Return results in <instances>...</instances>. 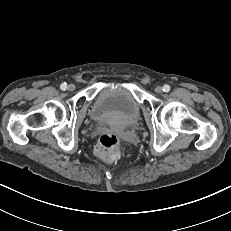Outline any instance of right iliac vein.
Returning a JSON list of instances; mask_svg holds the SVG:
<instances>
[{"mask_svg":"<svg viewBox=\"0 0 231 231\" xmlns=\"http://www.w3.org/2000/svg\"><path fill=\"white\" fill-rule=\"evenodd\" d=\"M68 91H74L75 90V86L73 84H69L67 87Z\"/></svg>","mask_w":231,"mask_h":231,"instance_id":"63e3f726","label":"right iliac vein"}]
</instances>
